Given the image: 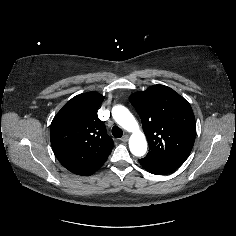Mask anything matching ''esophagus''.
Returning a JSON list of instances; mask_svg holds the SVG:
<instances>
[{
  "mask_svg": "<svg viewBox=\"0 0 236 236\" xmlns=\"http://www.w3.org/2000/svg\"><path fill=\"white\" fill-rule=\"evenodd\" d=\"M129 136L127 134H125L122 138L121 141L122 142H127L128 141Z\"/></svg>",
  "mask_w": 236,
  "mask_h": 236,
  "instance_id": "34e87169",
  "label": "esophagus"
}]
</instances>
